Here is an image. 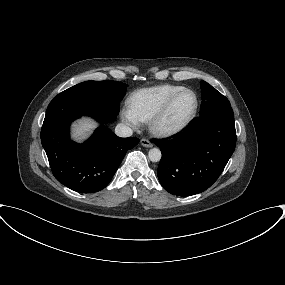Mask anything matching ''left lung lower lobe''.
<instances>
[{
	"instance_id": "0a47b994",
	"label": "left lung lower lobe",
	"mask_w": 285,
	"mask_h": 285,
	"mask_svg": "<svg viewBox=\"0 0 285 285\" xmlns=\"http://www.w3.org/2000/svg\"><path fill=\"white\" fill-rule=\"evenodd\" d=\"M153 142L162 152L157 174L163 188L179 196L201 193L215 183L234 152L233 113L202 115L180 136Z\"/></svg>"
}]
</instances>
